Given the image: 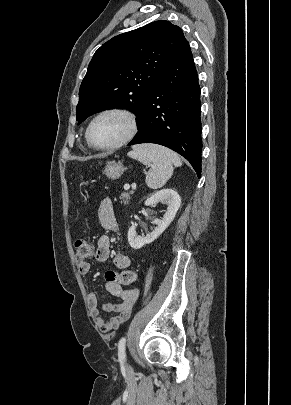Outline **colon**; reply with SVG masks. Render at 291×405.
Segmentation results:
<instances>
[{"label":"colon","mask_w":291,"mask_h":405,"mask_svg":"<svg viewBox=\"0 0 291 405\" xmlns=\"http://www.w3.org/2000/svg\"><path fill=\"white\" fill-rule=\"evenodd\" d=\"M74 248L75 257L79 264L87 262L93 255V247L85 239L76 240ZM106 280L118 285H129L136 280V274L131 270H124L120 273L109 271L106 273Z\"/></svg>","instance_id":"obj_1"}]
</instances>
